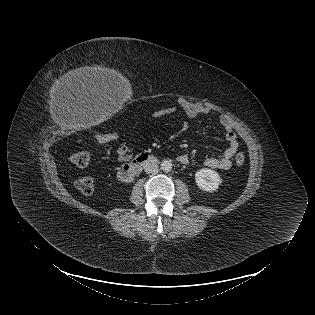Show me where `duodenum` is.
<instances>
[{
  "mask_svg": "<svg viewBox=\"0 0 315 315\" xmlns=\"http://www.w3.org/2000/svg\"><path fill=\"white\" fill-rule=\"evenodd\" d=\"M155 160L150 154H141L132 161L123 164L118 171V178L124 183H129L142 170V168Z\"/></svg>",
  "mask_w": 315,
  "mask_h": 315,
  "instance_id": "410a0bca",
  "label": "duodenum"
}]
</instances>
